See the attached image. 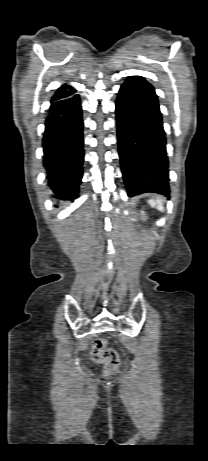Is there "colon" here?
<instances>
[{
    "label": "colon",
    "instance_id": "obj_1",
    "mask_svg": "<svg viewBox=\"0 0 208 461\" xmlns=\"http://www.w3.org/2000/svg\"><path fill=\"white\" fill-rule=\"evenodd\" d=\"M91 356L95 362L104 364L106 374L116 372L119 367L118 353L114 349L108 348L107 342L103 338H98L94 341Z\"/></svg>",
    "mask_w": 208,
    "mask_h": 461
}]
</instances>
